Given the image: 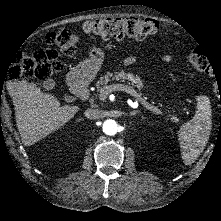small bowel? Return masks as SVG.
Listing matches in <instances>:
<instances>
[{
	"mask_svg": "<svg viewBox=\"0 0 221 221\" xmlns=\"http://www.w3.org/2000/svg\"><path fill=\"white\" fill-rule=\"evenodd\" d=\"M148 37L147 35L144 36V40H146ZM163 61L165 62H172L173 61V56L170 54H165L163 56ZM140 61V58L138 56L132 55V56H128L122 59V63L124 65H133V64H137Z\"/></svg>",
	"mask_w": 221,
	"mask_h": 221,
	"instance_id": "1",
	"label": "small bowel"
}]
</instances>
